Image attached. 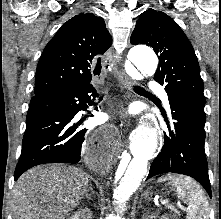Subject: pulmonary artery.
Instances as JSON below:
<instances>
[{
	"label": "pulmonary artery",
	"mask_w": 221,
	"mask_h": 219,
	"mask_svg": "<svg viewBox=\"0 0 221 219\" xmlns=\"http://www.w3.org/2000/svg\"><path fill=\"white\" fill-rule=\"evenodd\" d=\"M150 92L153 93V94L161 95L165 106L167 108L170 107L168 96L164 92L162 86L158 82L152 81L150 83Z\"/></svg>",
	"instance_id": "e3ab8cb5"
}]
</instances>
